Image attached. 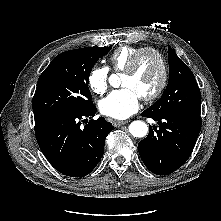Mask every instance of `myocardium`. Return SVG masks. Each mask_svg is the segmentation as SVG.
Listing matches in <instances>:
<instances>
[{
  "mask_svg": "<svg viewBox=\"0 0 221 221\" xmlns=\"http://www.w3.org/2000/svg\"><path fill=\"white\" fill-rule=\"evenodd\" d=\"M148 53L154 54L158 58L160 65H161V79H160L158 86L156 87V89L153 92L141 97L142 100H144V101H151V100L156 99L158 96L161 95V93L164 91V89L166 87V84L168 81V66H167V62H166L164 55L159 50H157L153 47H144V48L138 50L133 55L127 68L123 71L124 74H127V75L134 74L137 70V67L140 62L141 57L144 54H148Z\"/></svg>",
  "mask_w": 221,
  "mask_h": 221,
  "instance_id": "myocardium-1",
  "label": "myocardium"
}]
</instances>
